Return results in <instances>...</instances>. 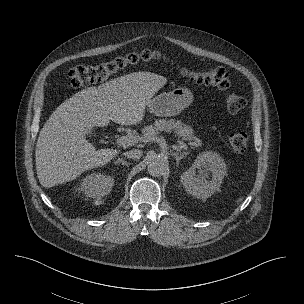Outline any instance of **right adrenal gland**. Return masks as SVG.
I'll list each match as a JSON object with an SVG mask.
<instances>
[{
  "label": "right adrenal gland",
  "mask_w": 304,
  "mask_h": 304,
  "mask_svg": "<svg viewBox=\"0 0 304 304\" xmlns=\"http://www.w3.org/2000/svg\"><path fill=\"white\" fill-rule=\"evenodd\" d=\"M122 164L123 166H128L130 163L125 161L123 158H118V160L115 162V164Z\"/></svg>",
  "instance_id": "obj_1"
}]
</instances>
